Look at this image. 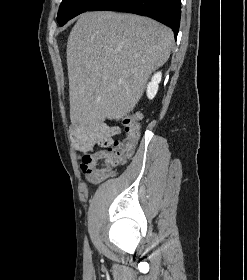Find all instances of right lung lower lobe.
<instances>
[{
    "instance_id": "obj_1",
    "label": "right lung lower lobe",
    "mask_w": 247,
    "mask_h": 280,
    "mask_svg": "<svg viewBox=\"0 0 247 280\" xmlns=\"http://www.w3.org/2000/svg\"><path fill=\"white\" fill-rule=\"evenodd\" d=\"M90 10H111L148 16L169 26L175 39L178 35L180 0H100Z\"/></svg>"
}]
</instances>
